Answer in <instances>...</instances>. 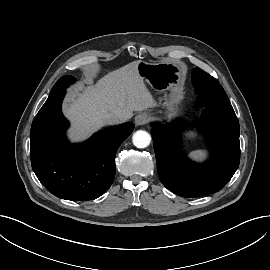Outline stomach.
<instances>
[{
    "label": "stomach",
    "mask_w": 270,
    "mask_h": 270,
    "mask_svg": "<svg viewBox=\"0 0 270 270\" xmlns=\"http://www.w3.org/2000/svg\"><path fill=\"white\" fill-rule=\"evenodd\" d=\"M137 70L143 81L160 94L165 117L174 118L186 73L185 65L173 61H139Z\"/></svg>",
    "instance_id": "stomach-1"
}]
</instances>
